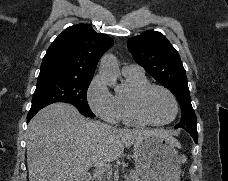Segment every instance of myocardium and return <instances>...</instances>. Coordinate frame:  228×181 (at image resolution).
Masks as SVG:
<instances>
[{
	"label": "myocardium",
	"mask_w": 228,
	"mask_h": 181,
	"mask_svg": "<svg viewBox=\"0 0 228 181\" xmlns=\"http://www.w3.org/2000/svg\"><path fill=\"white\" fill-rule=\"evenodd\" d=\"M153 89H156V90L163 92L168 97V99L170 100L171 108H172L171 117H169L165 120H162V121H154L147 116L145 109H144V106H143V97L148 91L153 90ZM132 109H133L135 116L141 122L146 123V124H150V125H164V124H167L168 122H170L174 118L176 111H177V106H176V102H175L174 97L172 96V94L168 90H166L165 88L158 86V85L147 84V85L141 87L136 92L135 98H134L133 103H132Z\"/></svg>",
	"instance_id": "myocardium-1"
}]
</instances>
